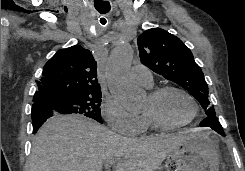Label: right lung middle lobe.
<instances>
[{"mask_svg": "<svg viewBox=\"0 0 245 171\" xmlns=\"http://www.w3.org/2000/svg\"><path fill=\"white\" fill-rule=\"evenodd\" d=\"M101 97V93L74 96L53 95L46 97L43 102L58 113H78L103 123L100 109Z\"/></svg>", "mask_w": 245, "mask_h": 171, "instance_id": "obj_1", "label": "right lung middle lobe"}]
</instances>
